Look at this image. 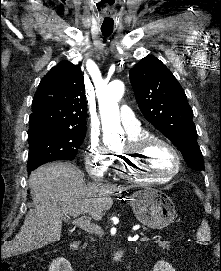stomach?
Segmentation results:
<instances>
[{
	"instance_id": "0dacf381",
	"label": "stomach",
	"mask_w": 221,
	"mask_h": 271,
	"mask_svg": "<svg viewBox=\"0 0 221 271\" xmlns=\"http://www.w3.org/2000/svg\"><path fill=\"white\" fill-rule=\"evenodd\" d=\"M131 207L140 223L163 229L172 223L175 217V205L166 193L151 191V189H138L131 195Z\"/></svg>"
}]
</instances>
